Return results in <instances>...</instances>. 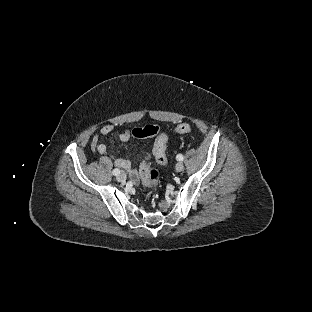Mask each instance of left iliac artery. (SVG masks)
I'll list each match as a JSON object with an SVG mask.
<instances>
[{
    "label": "left iliac artery",
    "instance_id": "obj_1",
    "mask_svg": "<svg viewBox=\"0 0 312 312\" xmlns=\"http://www.w3.org/2000/svg\"><path fill=\"white\" fill-rule=\"evenodd\" d=\"M176 158H177L178 161H182V160L184 159V157H183L182 154H178V155L176 156Z\"/></svg>",
    "mask_w": 312,
    "mask_h": 312
}]
</instances>
